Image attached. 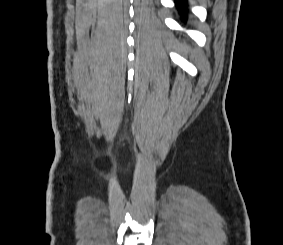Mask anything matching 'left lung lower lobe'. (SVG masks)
<instances>
[{"mask_svg": "<svg viewBox=\"0 0 283 245\" xmlns=\"http://www.w3.org/2000/svg\"><path fill=\"white\" fill-rule=\"evenodd\" d=\"M176 5L179 7V10L184 12L186 9V0H175Z\"/></svg>", "mask_w": 283, "mask_h": 245, "instance_id": "1", "label": "left lung lower lobe"}]
</instances>
